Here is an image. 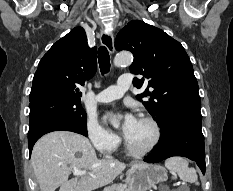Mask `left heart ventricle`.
Instances as JSON below:
<instances>
[{"instance_id":"b2bd125f","label":"left heart ventricle","mask_w":233,"mask_h":191,"mask_svg":"<svg viewBox=\"0 0 233 191\" xmlns=\"http://www.w3.org/2000/svg\"><path fill=\"white\" fill-rule=\"evenodd\" d=\"M126 138L131 144L145 148L150 145L154 138V129L148 121L137 119Z\"/></svg>"}]
</instances>
